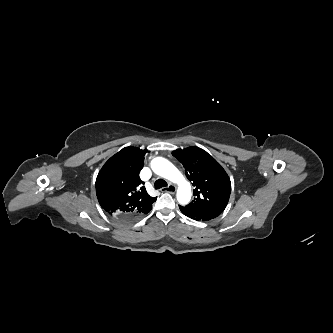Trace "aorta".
Segmentation results:
<instances>
[{
  "label": "aorta",
  "instance_id": "762f6f07",
  "mask_svg": "<svg viewBox=\"0 0 333 333\" xmlns=\"http://www.w3.org/2000/svg\"><path fill=\"white\" fill-rule=\"evenodd\" d=\"M151 168L157 175L179 185L177 200L181 205H186L191 199V186L184 175L167 159L156 157L151 162Z\"/></svg>",
  "mask_w": 333,
  "mask_h": 333
}]
</instances>
